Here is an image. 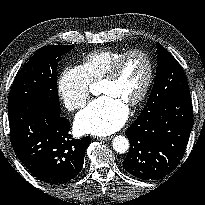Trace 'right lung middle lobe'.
<instances>
[{
    "label": "right lung middle lobe",
    "instance_id": "1",
    "mask_svg": "<svg viewBox=\"0 0 205 205\" xmlns=\"http://www.w3.org/2000/svg\"><path fill=\"white\" fill-rule=\"evenodd\" d=\"M71 45H49L40 48L16 75L8 104L29 101L61 113L56 70L63 54Z\"/></svg>",
    "mask_w": 205,
    "mask_h": 205
}]
</instances>
